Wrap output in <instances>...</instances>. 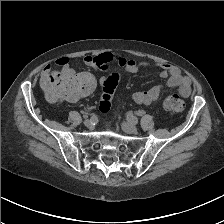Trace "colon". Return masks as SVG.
<instances>
[{
    "label": "colon",
    "instance_id": "colon-1",
    "mask_svg": "<svg viewBox=\"0 0 224 224\" xmlns=\"http://www.w3.org/2000/svg\"><path fill=\"white\" fill-rule=\"evenodd\" d=\"M119 79L120 75L114 73L107 77L102 83L103 94L99 102V110L102 113H107L110 110L113 94ZM44 85L52 99L64 98L75 101L90 95L96 87V81L92 75L82 73L60 79H54V77L51 76L46 80ZM163 106L167 111L178 113L185 108V102L178 95L170 94L165 98Z\"/></svg>",
    "mask_w": 224,
    "mask_h": 224
}]
</instances>
